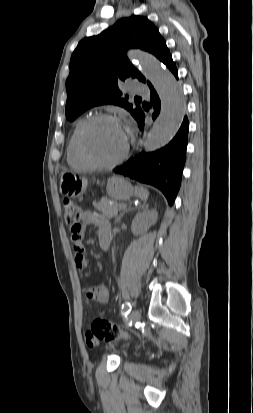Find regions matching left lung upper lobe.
Instances as JSON below:
<instances>
[{"instance_id": "1", "label": "left lung upper lobe", "mask_w": 253, "mask_h": 413, "mask_svg": "<svg viewBox=\"0 0 253 413\" xmlns=\"http://www.w3.org/2000/svg\"><path fill=\"white\" fill-rule=\"evenodd\" d=\"M129 48L148 51L164 64L171 57L158 29L143 16L122 18L99 35L82 39L70 59L66 81L68 120L73 121L90 107L108 103L122 106L135 119L138 117L142 109L128 103V97L119 89V84L128 78L146 82L127 59Z\"/></svg>"}]
</instances>
